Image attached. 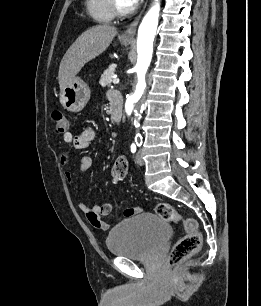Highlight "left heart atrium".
<instances>
[{
	"mask_svg": "<svg viewBox=\"0 0 261 306\" xmlns=\"http://www.w3.org/2000/svg\"><path fill=\"white\" fill-rule=\"evenodd\" d=\"M139 0H125V2L129 5L132 6L134 4H136Z\"/></svg>",
	"mask_w": 261,
	"mask_h": 306,
	"instance_id": "obj_1",
	"label": "left heart atrium"
}]
</instances>
